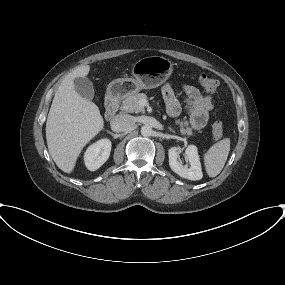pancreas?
I'll list each match as a JSON object with an SVG mask.
<instances>
[{
  "instance_id": "pancreas-1",
  "label": "pancreas",
  "mask_w": 285,
  "mask_h": 285,
  "mask_svg": "<svg viewBox=\"0 0 285 285\" xmlns=\"http://www.w3.org/2000/svg\"><path fill=\"white\" fill-rule=\"evenodd\" d=\"M146 100L147 96L144 93H136L127 96L123 101L121 105V109L125 112L129 113H139L144 111V107L140 105V100ZM176 124L179 125L180 132L183 135H187L188 137L193 136L194 133L192 132V129L188 126V121H180L177 120Z\"/></svg>"
}]
</instances>
